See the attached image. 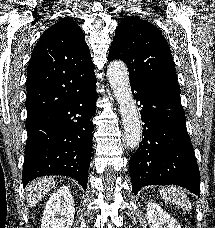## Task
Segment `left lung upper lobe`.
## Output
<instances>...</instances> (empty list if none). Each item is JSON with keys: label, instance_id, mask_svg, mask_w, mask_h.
Returning a JSON list of instances; mask_svg holds the SVG:
<instances>
[{"label": "left lung upper lobe", "instance_id": "5c2ea615", "mask_svg": "<svg viewBox=\"0 0 215 228\" xmlns=\"http://www.w3.org/2000/svg\"><path fill=\"white\" fill-rule=\"evenodd\" d=\"M121 59L129 79L146 85L178 86L174 61L162 33L138 17H125L116 28L108 60Z\"/></svg>", "mask_w": 215, "mask_h": 228}]
</instances>
